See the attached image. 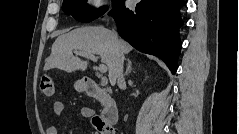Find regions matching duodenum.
<instances>
[{
    "label": "duodenum",
    "mask_w": 239,
    "mask_h": 134,
    "mask_svg": "<svg viewBox=\"0 0 239 134\" xmlns=\"http://www.w3.org/2000/svg\"><path fill=\"white\" fill-rule=\"evenodd\" d=\"M85 89L86 93L94 98H97L101 101L103 110L102 118L107 124H116L118 122L119 114L118 108L115 102L111 97L99 86L95 79L92 77H86Z\"/></svg>",
    "instance_id": "1"
}]
</instances>
